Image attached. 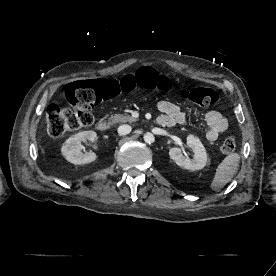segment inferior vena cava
<instances>
[{
  "label": "inferior vena cava",
  "instance_id": "inferior-vena-cava-1",
  "mask_svg": "<svg viewBox=\"0 0 276 276\" xmlns=\"http://www.w3.org/2000/svg\"><path fill=\"white\" fill-rule=\"evenodd\" d=\"M132 128L129 125H121L118 127V133L120 135H127L131 132Z\"/></svg>",
  "mask_w": 276,
  "mask_h": 276
}]
</instances>
